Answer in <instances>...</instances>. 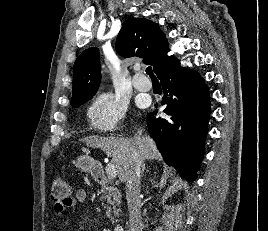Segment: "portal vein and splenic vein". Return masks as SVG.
<instances>
[{
  "mask_svg": "<svg viewBox=\"0 0 268 231\" xmlns=\"http://www.w3.org/2000/svg\"><path fill=\"white\" fill-rule=\"evenodd\" d=\"M106 174L109 179H114L116 177V165L114 162H109L106 166Z\"/></svg>",
  "mask_w": 268,
  "mask_h": 231,
  "instance_id": "portal-vein-and-splenic-vein-1",
  "label": "portal vein and splenic vein"
}]
</instances>
